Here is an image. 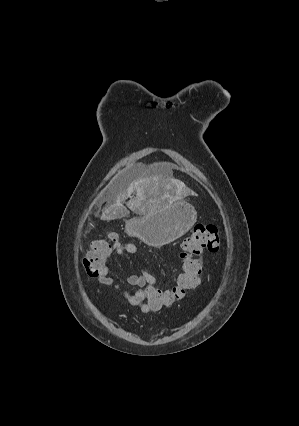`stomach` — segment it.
Masks as SVG:
<instances>
[{
	"label": "stomach",
	"mask_w": 299,
	"mask_h": 426,
	"mask_svg": "<svg viewBox=\"0 0 299 426\" xmlns=\"http://www.w3.org/2000/svg\"><path fill=\"white\" fill-rule=\"evenodd\" d=\"M197 220L195 208L184 200L157 206L126 222V232L151 247H162L188 232Z\"/></svg>",
	"instance_id": "stomach-1"
}]
</instances>
